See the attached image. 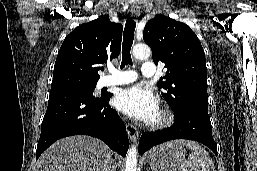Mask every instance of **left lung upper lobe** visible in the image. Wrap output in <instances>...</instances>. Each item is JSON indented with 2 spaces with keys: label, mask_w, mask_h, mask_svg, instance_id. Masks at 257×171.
Returning <instances> with one entry per match:
<instances>
[{
  "label": "left lung upper lobe",
  "mask_w": 257,
  "mask_h": 171,
  "mask_svg": "<svg viewBox=\"0 0 257 171\" xmlns=\"http://www.w3.org/2000/svg\"><path fill=\"white\" fill-rule=\"evenodd\" d=\"M143 38L154 63L167 68L158 86L174 113L188 108L208 111L205 53L191 28L158 14L146 24Z\"/></svg>",
  "instance_id": "1"
}]
</instances>
